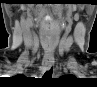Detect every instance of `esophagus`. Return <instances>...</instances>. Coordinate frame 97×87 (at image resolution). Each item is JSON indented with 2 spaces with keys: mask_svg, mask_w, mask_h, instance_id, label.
<instances>
[{
  "mask_svg": "<svg viewBox=\"0 0 97 87\" xmlns=\"http://www.w3.org/2000/svg\"><path fill=\"white\" fill-rule=\"evenodd\" d=\"M54 64V56L52 52H46L43 60V70L48 71Z\"/></svg>",
  "mask_w": 97,
  "mask_h": 87,
  "instance_id": "34e87169",
  "label": "esophagus"
}]
</instances>
